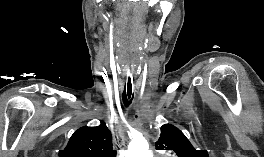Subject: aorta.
Listing matches in <instances>:
<instances>
[{"label":"aorta","mask_w":264,"mask_h":157,"mask_svg":"<svg viewBox=\"0 0 264 157\" xmlns=\"http://www.w3.org/2000/svg\"><path fill=\"white\" fill-rule=\"evenodd\" d=\"M127 157H151L148 143L141 135L135 137L129 144Z\"/></svg>","instance_id":"1"}]
</instances>
